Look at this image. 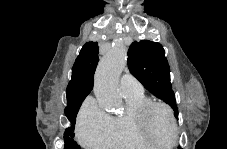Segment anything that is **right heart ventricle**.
<instances>
[{
    "mask_svg": "<svg viewBox=\"0 0 227 149\" xmlns=\"http://www.w3.org/2000/svg\"><path fill=\"white\" fill-rule=\"evenodd\" d=\"M126 110L111 117L108 146L117 149H151L138 134L134 113L144 103L150 101L143 92L125 94Z\"/></svg>",
    "mask_w": 227,
    "mask_h": 149,
    "instance_id": "1",
    "label": "right heart ventricle"
}]
</instances>
